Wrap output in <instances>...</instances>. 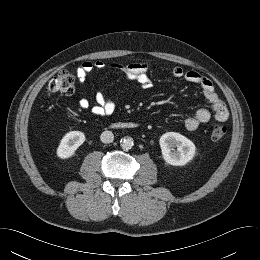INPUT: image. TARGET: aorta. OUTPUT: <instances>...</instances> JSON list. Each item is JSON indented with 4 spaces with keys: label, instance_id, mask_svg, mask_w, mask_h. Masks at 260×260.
<instances>
[{
    "label": "aorta",
    "instance_id": "aorta-1",
    "mask_svg": "<svg viewBox=\"0 0 260 260\" xmlns=\"http://www.w3.org/2000/svg\"><path fill=\"white\" fill-rule=\"evenodd\" d=\"M134 142L131 137H124L120 141V146L123 150H129L133 147Z\"/></svg>",
    "mask_w": 260,
    "mask_h": 260
}]
</instances>
